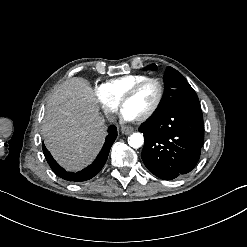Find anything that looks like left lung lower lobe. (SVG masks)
I'll return each mask as SVG.
<instances>
[{
    "label": "left lung lower lobe",
    "instance_id": "0a47b994",
    "mask_svg": "<svg viewBox=\"0 0 247 247\" xmlns=\"http://www.w3.org/2000/svg\"><path fill=\"white\" fill-rule=\"evenodd\" d=\"M139 131L145 138L142 160L155 176L172 180L196 166L204 142L201 107H174L149 118Z\"/></svg>",
    "mask_w": 247,
    "mask_h": 247
}]
</instances>
